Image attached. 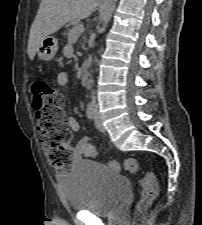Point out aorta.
Instances as JSON below:
<instances>
[{
  "label": "aorta",
  "mask_w": 202,
  "mask_h": 225,
  "mask_svg": "<svg viewBox=\"0 0 202 225\" xmlns=\"http://www.w3.org/2000/svg\"><path fill=\"white\" fill-rule=\"evenodd\" d=\"M117 0H108L107 7L105 9L104 15H103V26L100 29V32L103 33L112 17V14L115 10Z\"/></svg>",
  "instance_id": "1"
}]
</instances>
